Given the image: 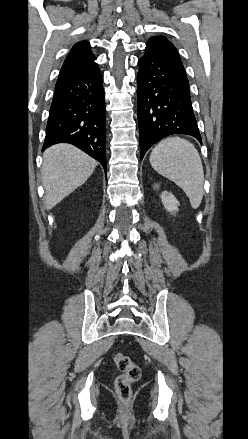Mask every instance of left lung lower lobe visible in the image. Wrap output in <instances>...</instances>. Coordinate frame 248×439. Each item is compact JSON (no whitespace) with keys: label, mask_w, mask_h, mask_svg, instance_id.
I'll list each match as a JSON object with an SVG mask.
<instances>
[{"label":"left lung lower lobe","mask_w":248,"mask_h":439,"mask_svg":"<svg viewBox=\"0 0 248 439\" xmlns=\"http://www.w3.org/2000/svg\"><path fill=\"white\" fill-rule=\"evenodd\" d=\"M138 65L141 160L152 145L172 134L191 135L202 142L193 113L189 81L178 51L148 41Z\"/></svg>","instance_id":"0a47b994"}]
</instances>
